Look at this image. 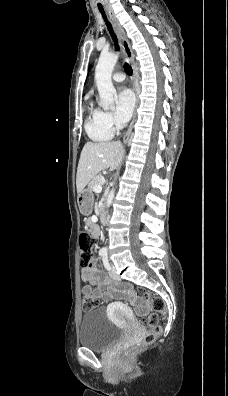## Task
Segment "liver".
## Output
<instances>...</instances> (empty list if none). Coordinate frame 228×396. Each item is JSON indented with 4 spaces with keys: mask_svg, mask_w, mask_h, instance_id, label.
Instances as JSON below:
<instances>
[{
    "mask_svg": "<svg viewBox=\"0 0 228 396\" xmlns=\"http://www.w3.org/2000/svg\"><path fill=\"white\" fill-rule=\"evenodd\" d=\"M123 156L124 148L119 141L87 142L82 149L77 169V193L79 194L102 170H115Z\"/></svg>",
    "mask_w": 228,
    "mask_h": 396,
    "instance_id": "liver-1",
    "label": "liver"
}]
</instances>
